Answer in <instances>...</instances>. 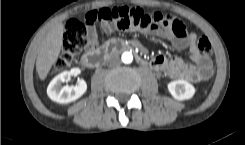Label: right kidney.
<instances>
[{
    "label": "right kidney",
    "instance_id": "ca27d5eb",
    "mask_svg": "<svg viewBox=\"0 0 245 145\" xmlns=\"http://www.w3.org/2000/svg\"><path fill=\"white\" fill-rule=\"evenodd\" d=\"M80 73L79 68H72L54 77L47 88L49 98L60 104L70 103L80 98L87 90V84L83 79H79L74 86L61 85L68 82L71 76H77Z\"/></svg>",
    "mask_w": 245,
    "mask_h": 145
}]
</instances>
